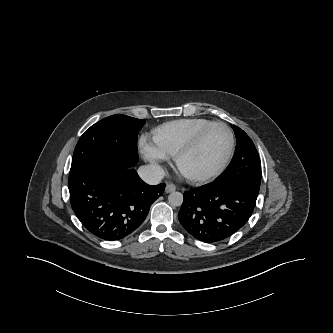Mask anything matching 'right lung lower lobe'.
I'll return each instance as SVG.
<instances>
[{"label":"right lung lower lobe","mask_w":333,"mask_h":333,"mask_svg":"<svg viewBox=\"0 0 333 333\" xmlns=\"http://www.w3.org/2000/svg\"><path fill=\"white\" fill-rule=\"evenodd\" d=\"M165 186L147 185L130 167H88L68 180L76 216L90 233L107 241L133 233Z\"/></svg>","instance_id":"1"}]
</instances>
